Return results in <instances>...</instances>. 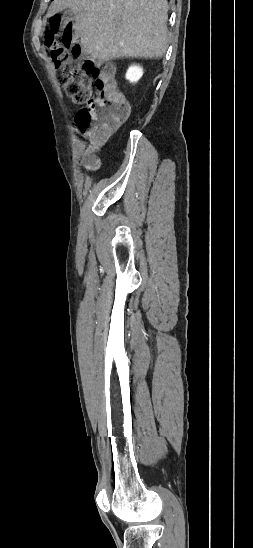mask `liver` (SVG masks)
Returning <instances> with one entry per match:
<instances>
[{"label": "liver", "instance_id": "liver-1", "mask_svg": "<svg viewBox=\"0 0 253 548\" xmlns=\"http://www.w3.org/2000/svg\"><path fill=\"white\" fill-rule=\"evenodd\" d=\"M71 9L83 51L108 61L162 57L168 47L166 0H54L52 16Z\"/></svg>", "mask_w": 253, "mask_h": 548}]
</instances>
